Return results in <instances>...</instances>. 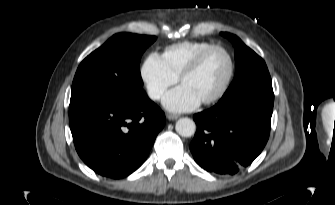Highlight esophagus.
<instances>
[{
	"instance_id": "1",
	"label": "esophagus",
	"mask_w": 335,
	"mask_h": 205,
	"mask_svg": "<svg viewBox=\"0 0 335 205\" xmlns=\"http://www.w3.org/2000/svg\"><path fill=\"white\" fill-rule=\"evenodd\" d=\"M166 117H167L168 120H176L179 116L176 115V114L168 113V114L166 115Z\"/></svg>"
}]
</instances>
